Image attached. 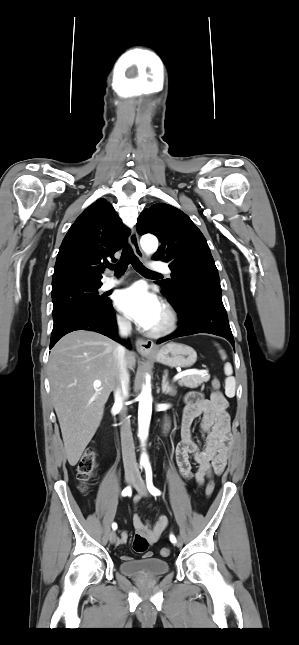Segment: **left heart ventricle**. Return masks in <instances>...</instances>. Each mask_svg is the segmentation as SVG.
I'll return each instance as SVG.
<instances>
[{"label": "left heart ventricle", "instance_id": "left-heart-ventricle-1", "mask_svg": "<svg viewBox=\"0 0 299 645\" xmlns=\"http://www.w3.org/2000/svg\"><path fill=\"white\" fill-rule=\"evenodd\" d=\"M161 321H162V314H160L158 320L156 321V323L154 324V326L152 328L157 327L161 323Z\"/></svg>", "mask_w": 299, "mask_h": 645}]
</instances>
